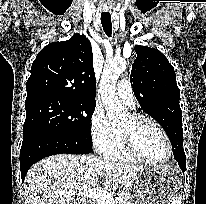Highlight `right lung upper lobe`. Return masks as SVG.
Instances as JSON below:
<instances>
[{"mask_svg":"<svg viewBox=\"0 0 206 204\" xmlns=\"http://www.w3.org/2000/svg\"><path fill=\"white\" fill-rule=\"evenodd\" d=\"M27 100L55 96L95 101L96 84L91 44L74 34L53 42L37 55L27 81Z\"/></svg>","mask_w":206,"mask_h":204,"instance_id":"1","label":"right lung upper lobe"}]
</instances>
